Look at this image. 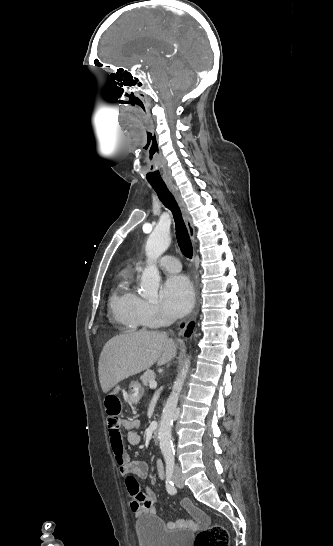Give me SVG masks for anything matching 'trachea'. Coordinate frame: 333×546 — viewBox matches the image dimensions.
Segmentation results:
<instances>
[{
  "instance_id": "trachea-1",
  "label": "trachea",
  "mask_w": 333,
  "mask_h": 546,
  "mask_svg": "<svg viewBox=\"0 0 333 546\" xmlns=\"http://www.w3.org/2000/svg\"><path fill=\"white\" fill-rule=\"evenodd\" d=\"M151 174L159 175V177H160V172L159 171H156V172L151 173ZM151 186L155 190V192L157 193V195H158L159 199L161 200V202L169 210H171V212L173 214L174 221H175V226H176V235H177V240H178L180 250L182 251L184 256H186L189 259H192V255H193L192 243H191V240H190V237H189L188 230L186 228L185 222L183 220L181 210H180L177 202L175 201L173 195L169 192V190H168V188H167V186L165 184L151 183Z\"/></svg>"
}]
</instances>
